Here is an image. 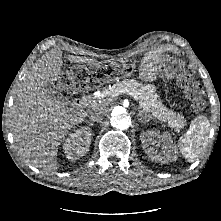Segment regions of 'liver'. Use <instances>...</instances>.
<instances>
[{
	"label": "liver",
	"instance_id": "liver-1",
	"mask_svg": "<svg viewBox=\"0 0 221 221\" xmlns=\"http://www.w3.org/2000/svg\"><path fill=\"white\" fill-rule=\"evenodd\" d=\"M68 60L95 62V59L73 55ZM62 65L61 52L54 50L34 63L16 92L9 119L19 155L30 165L50 173L58 169L57 152L62 140L88 114L86 110H74L47 94L46 86L58 80ZM95 106L107 111L106 105Z\"/></svg>",
	"mask_w": 221,
	"mask_h": 221
}]
</instances>
